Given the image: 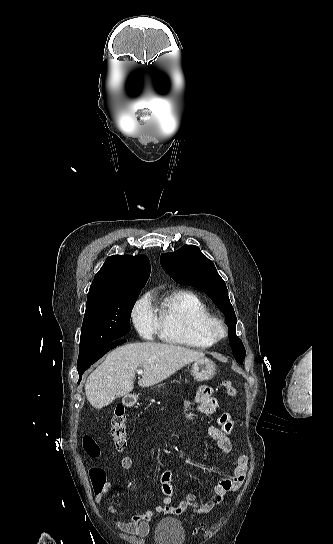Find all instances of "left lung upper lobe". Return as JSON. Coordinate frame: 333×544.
<instances>
[{
    "label": "left lung upper lobe",
    "mask_w": 333,
    "mask_h": 544,
    "mask_svg": "<svg viewBox=\"0 0 333 544\" xmlns=\"http://www.w3.org/2000/svg\"><path fill=\"white\" fill-rule=\"evenodd\" d=\"M160 260L162 268L170 277L203 290L225 313L233 356L239 364H243L246 352L243 343L235 335V312L229 301L226 284L213 262L194 245H184L176 252L162 254Z\"/></svg>",
    "instance_id": "1"
}]
</instances>
